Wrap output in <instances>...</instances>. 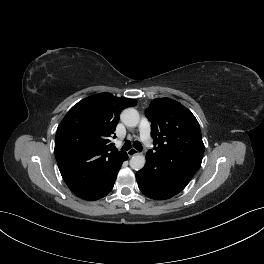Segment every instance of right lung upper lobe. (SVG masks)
<instances>
[{
  "label": "right lung upper lobe",
  "mask_w": 264,
  "mask_h": 264,
  "mask_svg": "<svg viewBox=\"0 0 264 264\" xmlns=\"http://www.w3.org/2000/svg\"><path fill=\"white\" fill-rule=\"evenodd\" d=\"M136 104L134 99L101 93L79 101L61 121L55 157L64 181L78 197L94 201L112 190L128 155L118 151L110 138L121 110Z\"/></svg>",
  "instance_id": "cb5924a9"
}]
</instances>
